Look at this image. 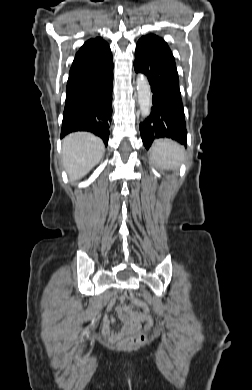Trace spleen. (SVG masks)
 <instances>
[{"label": "spleen", "instance_id": "3e777b00", "mask_svg": "<svg viewBox=\"0 0 252 390\" xmlns=\"http://www.w3.org/2000/svg\"><path fill=\"white\" fill-rule=\"evenodd\" d=\"M183 156L184 148L167 139L157 140L151 151L152 159L166 169L177 167Z\"/></svg>", "mask_w": 252, "mask_h": 390}]
</instances>
